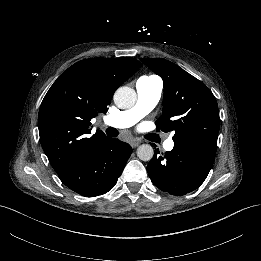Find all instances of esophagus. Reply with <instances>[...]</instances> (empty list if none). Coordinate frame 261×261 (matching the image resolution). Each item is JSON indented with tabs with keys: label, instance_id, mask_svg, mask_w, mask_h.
Returning a JSON list of instances; mask_svg holds the SVG:
<instances>
[{
	"label": "esophagus",
	"instance_id": "esophagus-1",
	"mask_svg": "<svg viewBox=\"0 0 261 261\" xmlns=\"http://www.w3.org/2000/svg\"><path fill=\"white\" fill-rule=\"evenodd\" d=\"M141 141L138 140V139H133L131 142H130V145L132 148H136L140 145Z\"/></svg>",
	"mask_w": 261,
	"mask_h": 261
}]
</instances>
